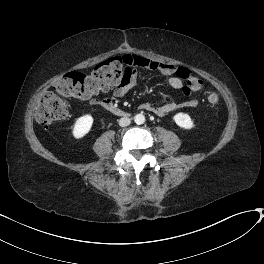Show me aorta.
<instances>
[{"mask_svg":"<svg viewBox=\"0 0 264 264\" xmlns=\"http://www.w3.org/2000/svg\"><path fill=\"white\" fill-rule=\"evenodd\" d=\"M134 122L138 125L143 124L145 122V116L143 114H136L134 116Z\"/></svg>","mask_w":264,"mask_h":264,"instance_id":"aorta-1","label":"aorta"}]
</instances>
